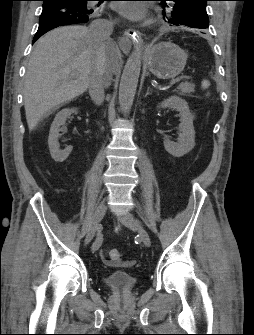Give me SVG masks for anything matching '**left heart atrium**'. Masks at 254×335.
I'll return each instance as SVG.
<instances>
[{"mask_svg": "<svg viewBox=\"0 0 254 335\" xmlns=\"http://www.w3.org/2000/svg\"><path fill=\"white\" fill-rule=\"evenodd\" d=\"M117 11L129 20H141L146 15L145 7L136 2H120L117 7Z\"/></svg>", "mask_w": 254, "mask_h": 335, "instance_id": "39dd6f15", "label": "left heart atrium"}]
</instances>
